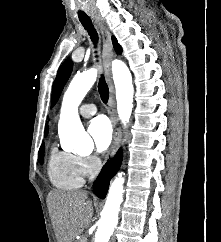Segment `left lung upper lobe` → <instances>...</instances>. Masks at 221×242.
<instances>
[{
  "instance_id": "obj_1",
  "label": "left lung upper lobe",
  "mask_w": 221,
  "mask_h": 242,
  "mask_svg": "<svg viewBox=\"0 0 221 242\" xmlns=\"http://www.w3.org/2000/svg\"><path fill=\"white\" fill-rule=\"evenodd\" d=\"M113 46L116 50L117 53H121V47L117 43L116 38H112ZM73 69V62L70 59L65 60V62L61 65L57 77L54 81L53 84V89H52V106L57 102L61 91L68 80L71 72Z\"/></svg>"
}]
</instances>
